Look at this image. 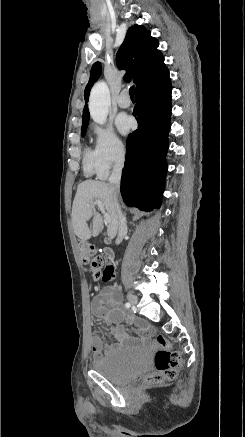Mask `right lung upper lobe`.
Listing matches in <instances>:
<instances>
[{"label": "right lung upper lobe", "instance_id": "cb5924a9", "mask_svg": "<svg viewBox=\"0 0 245 437\" xmlns=\"http://www.w3.org/2000/svg\"><path fill=\"white\" fill-rule=\"evenodd\" d=\"M159 42L151 36V32L143 25H133L127 31L125 40L120 46L116 61L119 69H125L126 81L133 80L137 85L136 92L158 86L170 80L169 72L164 64V57L157 49ZM101 63L95 62L91 68L90 79L85 87L84 99H89V92L94 82L100 77ZM90 114L87 104L83 110L82 127L88 126Z\"/></svg>", "mask_w": 245, "mask_h": 437}]
</instances>
